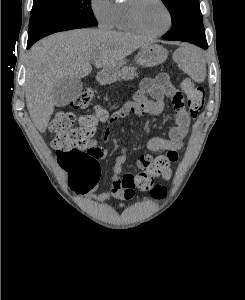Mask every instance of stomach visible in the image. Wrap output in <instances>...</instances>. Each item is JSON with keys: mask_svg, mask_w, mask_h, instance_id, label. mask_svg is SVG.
I'll return each mask as SVG.
<instances>
[{"mask_svg": "<svg viewBox=\"0 0 245 300\" xmlns=\"http://www.w3.org/2000/svg\"><path fill=\"white\" fill-rule=\"evenodd\" d=\"M168 51L160 45L150 44L140 49L135 57V62L143 67H154L166 61ZM126 61L121 60L115 65L107 67L103 71V79L105 81L116 80L122 69L125 68Z\"/></svg>", "mask_w": 245, "mask_h": 300, "instance_id": "0dacf381", "label": "stomach"}]
</instances>
